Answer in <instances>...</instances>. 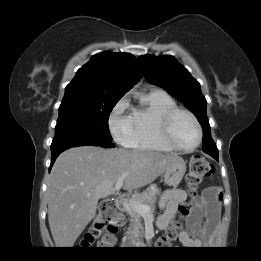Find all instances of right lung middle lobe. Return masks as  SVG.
I'll return each instance as SVG.
<instances>
[{
	"instance_id": "right-lung-middle-lobe-1",
	"label": "right lung middle lobe",
	"mask_w": 261,
	"mask_h": 261,
	"mask_svg": "<svg viewBox=\"0 0 261 261\" xmlns=\"http://www.w3.org/2000/svg\"><path fill=\"white\" fill-rule=\"evenodd\" d=\"M121 96L64 97L54 140L76 136H95L112 140L108 117Z\"/></svg>"
}]
</instances>
